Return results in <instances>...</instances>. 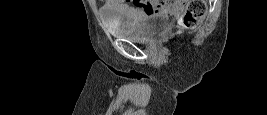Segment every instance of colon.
Here are the masks:
<instances>
[{
	"instance_id": "5ec220e1",
	"label": "colon",
	"mask_w": 267,
	"mask_h": 115,
	"mask_svg": "<svg viewBox=\"0 0 267 115\" xmlns=\"http://www.w3.org/2000/svg\"><path fill=\"white\" fill-rule=\"evenodd\" d=\"M141 11H147L152 13L151 10H147L149 7L140 4ZM206 10V4L203 1L191 0L186 3L185 9L181 16V21L186 27H194L202 17Z\"/></svg>"
}]
</instances>
